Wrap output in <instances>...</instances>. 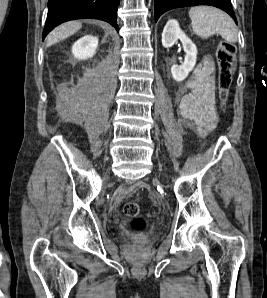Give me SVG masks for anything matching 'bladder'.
<instances>
[{
  "label": "bladder",
  "mask_w": 267,
  "mask_h": 298,
  "mask_svg": "<svg viewBox=\"0 0 267 298\" xmlns=\"http://www.w3.org/2000/svg\"><path fill=\"white\" fill-rule=\"evenodd\" d=\"M153 239H154V236H147V237L144 238V240H145L146 242H150V241H152Z\"/></svg>",
  "instance_id": "obj_1"
}]
</instances>
